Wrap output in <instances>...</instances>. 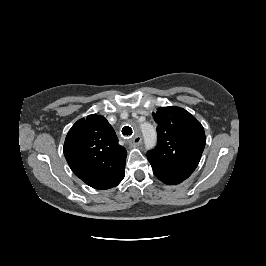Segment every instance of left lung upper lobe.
Segmentation results:
<instances>
[{"mask_svg":"<svg viewBox=\"0 0 266 266\" xmlns=\"http://www.w3.org/2000/svg\"><path fill=\"white\" fill-rule=\"evenodd\" d=\"M157 122L158 142L147 153L154 175L168 185L179 184L196 169L206 144L204 128L180 107H160Z\"/></svg>","mask_w":266,"mask_h":266,"instance_id":"5c2ea615","label":"left lung upper lobe"}]
</instances>
